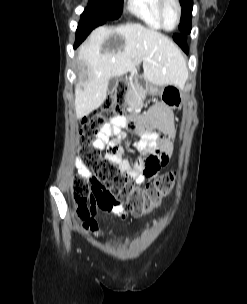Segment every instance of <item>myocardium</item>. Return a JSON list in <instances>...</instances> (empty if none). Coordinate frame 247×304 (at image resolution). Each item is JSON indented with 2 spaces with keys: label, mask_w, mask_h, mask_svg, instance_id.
I'll use <instances>...</instances> for the list:
<instances>
[{
  "label": "myocardium",
  "mask_w": 247,
  "mask_h": 304,
  "mask_svg": "<svg viewBox=\"0 0 247 304\" xmlns=\"http://www.w3.org/2000/svg\"><path fill=\"white\" fill-rule=\"evenodd\" d=\"M169 2H173L177 7V22H176V25L173 28H168L166 26L165 18H164L165 7ZM158 15H159L160 22H161V24H162V26L165 30H167V31L175 30L181 22L182 6H181L180 1L179 0H159Z\"/></svg>",
  "instance_id": "f54148a6"
}]
</instances>
